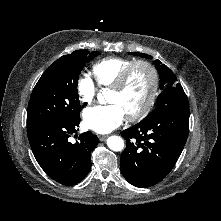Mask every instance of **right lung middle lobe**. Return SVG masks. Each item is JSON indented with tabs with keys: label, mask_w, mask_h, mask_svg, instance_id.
I'll use <instances>...</instances> for the list:
<instances>
[{
	"label": "right lung middle lobe",
	"mask_w": 221,
	"mask_h": 221,
	"mask_svg": "<svg viewBox=\"0 0 221 221\" xmlns=\"http://www.w3.org/2000/svg\"><path fill=\"white\" fill-rule=\"evenodd\" d=\"M99 52L77 50L57 59L34 87L27 109V124L48 119L80 118L77 83L85 64Z\"/></svg>",
	"instance_id": "obj_1"
}]
</instances>
